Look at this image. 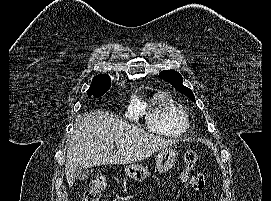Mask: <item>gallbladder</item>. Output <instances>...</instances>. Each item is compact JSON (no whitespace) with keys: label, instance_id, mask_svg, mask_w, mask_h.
<instances>
[{"label":"gallbladder","instance_id":"1","mask_svg":"<svg viewBox=\"0 0 271 201\" xmlns=\"http://www.w3.org/2000/svg\"><path fill=\"white\" fill-rule=\"evenodd\" d=\"M93 171L90 168L84 166H78L75 171V177L79 180H85L92 176Z\"/></svg>","mask_w":271,"mask_h":201}]
</instances>
